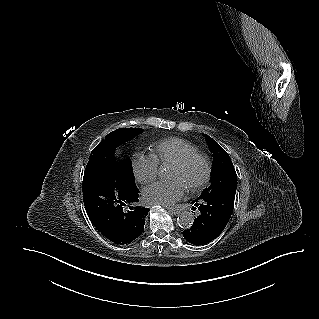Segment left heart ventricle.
I'll use <instances>...</instances> for the list:
<instances>
[{
  "label": "left heart ventricle",
  "mask_w": 319,
  "mask_h": 319,
  "mask_svg": "<svg viewBox=\"0 0 319 319\" xmlns=\"http://www.w3.org/2000/svg\"><path fill=\"white\" fill-rule=\"evenodd\" d=\"M205 167L201 160H194L187 166L179 168L170 165L167 177L170 179H180L187 187L198 183L204 176Z\"/></svg>",
  "instance_id": "left-heart-ventricle-1"
}]
</instances>
